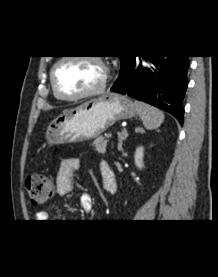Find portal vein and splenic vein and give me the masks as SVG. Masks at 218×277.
Masks as SVG:
<instances>
[{
  "label": "portal vein and splenic vein",
  "instance_id": "1",
  "mask_svg": "<svg viewBox=\"0 0 218 277\" xmlns=\"http://www.w3.org/2000/svg\"><path fill=\"white\" fill-rule=\"evenodd\" d=\"M124 134H127L126 131L124 132ZM111 137H112L111 133H108L107 136H106L107 139H110Z\"/></svg>",
  "mask_w": 218,
  "mask_h": 277
}]
</instances>
